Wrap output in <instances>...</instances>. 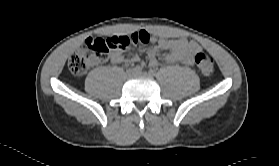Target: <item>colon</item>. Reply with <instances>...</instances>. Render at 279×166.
Listing matches in <instances>:
<instances>
[{"instance_id": "5ec220e1", "label": "colon", "mask_w": 279, "mask_h": 166, "mask_svg": "<svg viewBox=\"0 0 279 166\" xmlns=\"http://www.w3.org/2000/svg\"><path fill=\"white\" fill-rule=\"evenodd\" d=\"M141 42H145V36H141ZM137 39L129 36H115L110 38H88L83 46L68 60V68L75 75L84 74L91 66L105 62L113 49H125ZM198 70L203 75H210L214 70V60L211 55L199 52L194 58Z\"/></svg>"}]
</instances>
